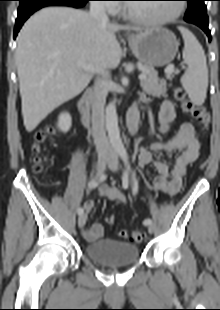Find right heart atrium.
Returning <instances> with one entry per match:
<instances>
[{"instance_id":"d8ad5b80","label":"right heart atrium","mask_w":220,"mask_h":310,"mask_svg":"<svg viewBox=\"0 0 220 310\" xmlns=\"http://www.w3.org/2000/svg\"><path fill=\"white\" fill-rule=\"evenodd\" d=\"M106 4H105V9L110 12V13H114L118 10L117 4L115 3V1L113 0H105Z\"/></svg>"}]
</instances>
